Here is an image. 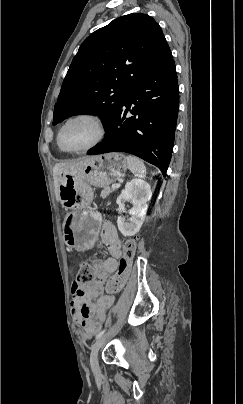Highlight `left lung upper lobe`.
Wrapping results in <instances>:
<instances>
[{
  "label": "left lung upper lobe",
  "instance_id": "left-lung-upper-lobe-1",
  "mask_svg": "<svg viewBox=\"0 0 243 404\" xmlns=\"http://www.w3.org/2000/svg\"><path fill=\"white\" fill-rule=\"evenodd\" d=\"M170 53L158 23L132 13L92 33L64 78L53 124L78 114L101 117L108 126L133 87Z\"/></svg>",
  "mask_w": 243,
  "mask_h": 404
}]
</instances>
